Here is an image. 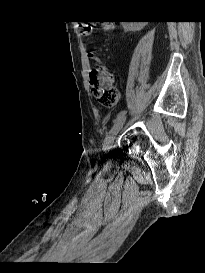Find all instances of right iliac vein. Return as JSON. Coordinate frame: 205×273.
<instances>
[{
  "instance_id": "1",
  "label": "right iliac vein",
  "mask_w": 205,
  "mask_h": 273,
  "mask_svg": "<svg viewBox=\"0 0 205 273\" xmlns=\"http://www.w3.org/2000/svg\"><path fill=\"white\" fill-rule=\"evenodd\" d=\"M125 121H126V116L123 115L115 122V124L113 125L110 132L105 138L104 145H103L104 150H109L111 148L117 134L123 128Z\"/></svg>"
}]
</instances>
